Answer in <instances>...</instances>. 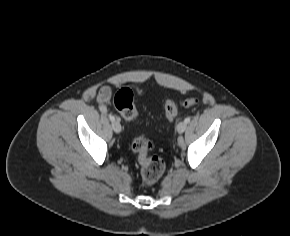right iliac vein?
<instances>
[{"instance_id": "obj_1", "label": "right iliac vein", "mask_w": 290, "mask_h": 236, "mask_svg": "<svg viewBox=\"0 0 290 236\" xmlns=\"http://www.w3.org/2000/svg\"><path fill=\"white\" fill-rule=\"evenodd\" d=\"M112 128L116 133H120L122 130L121 124L117 120L112 122Z\"/></svg>"}]
</instances>
